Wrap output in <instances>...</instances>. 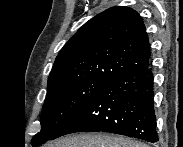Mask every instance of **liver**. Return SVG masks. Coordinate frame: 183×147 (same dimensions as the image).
Returning <instances> with one entry per match:
<instances>
[{
  "mask_svg": "<svg viewBox=\"0 0 183 147\" xmlns=\"http://www.w3.org/2000/svg\"><path fill=\"white\" fill-rule=\"evenodd\" d=\"M48 147H147L146 144L109 134H77L61 138Z\"/></svg>",
  "mask_w": 183,
  "mask_h": 147,
  "instance_id": "6515ba94",
  "label": "liver"
}]
</instances>
